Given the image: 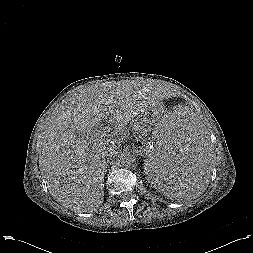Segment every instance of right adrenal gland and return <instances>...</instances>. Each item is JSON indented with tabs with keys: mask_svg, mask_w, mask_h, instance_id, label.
I'll list each match as a JSON object with an SVG mask.
<instances>
[{
	"mask_svg": "<svg viewBox=\"0 0 253 253\" xmlns=\"http://www.w3.org/2000/svg\"><path fill=\"white\" fill-rule=\"evenodd\" d=\"M110 159H111V157H108V158H107V161L105 162L104 174H106V172H107V169H106V168L109 166Z\"/></svg>",
	"mask_w": 253,
	"mask_h": 253,
	"instance_id": "obj_1",
	"label": "right adrenal gland"
}]
</instances>
